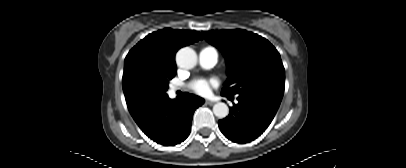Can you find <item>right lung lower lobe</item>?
<instances>
[{
    "instance_id": "98d812e1",
    "label": "right lung lower lobe",
    "mask_w": 406,
    "mask_h": 168,
    "mask_svg": "<svg viewBox=\"0 0 406 168\" xmlns=\"http://www.w3.org/2000/svg\"><path fill=\"white\" fill-rule=\"evenodd\" d=\"M204 99L185 94L179 102L169 97L131 113L140 129L153 141L165 146L183 142L190 134L193 113Z\"/></svg>"
}]
</instances>
